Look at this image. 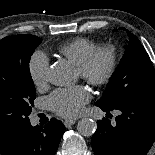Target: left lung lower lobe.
<instances>
[{
    "label": "left lung lower lobe",
    "mask_w": 155,
    "mask_h": 155,
    "mask_svg": "<svg viewBox=\"0 0 155 155\" xmlns=\"http://www.w3.org/2000/svg\"><path fill=\"white\" fill-rule=\"evenodd\" d=\"M97 106L122 114L116 117V124L107 118L98 121L91 140L95 155L147 154L155 141V92L137 94L112 108Z\"/></svg>",
    "instance_id": "1"
}]
</instances>
